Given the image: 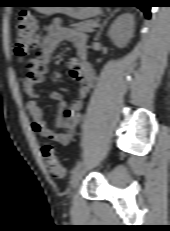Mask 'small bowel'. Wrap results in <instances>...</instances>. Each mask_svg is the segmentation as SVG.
Listing matches in <instances>:
<instances>
[{
    "mask_svg": "<svg viewBox=\"0 0 170 231\" xmlns=\"http://www.w3.org/2000/svg\"><path fill=\"white\" fill-rule=\"evenodd\" d=\"M63 41L72 42L78 54L77 58L68 62L67 67L71 78L79 83V97L69 104L60 103L55 126L61 131H55L44 122L38 103L40 94L36 87L45 81L52 55ZM94 80V73L86 60V36L74 29L63 27L58 21L52 23L39 43V51L29 60L23 80L24 92L28 98L26 108L32 118V131L61 145H67L81 121L83 100L92 89ZM50 98L60 100V95L52 92Z\"/></svg>",
    "mask_w": 170,
    "mask_h": 231,
    "instance_id": "small-bowel-1",
    "label": "small bowel"
}]
</instances>
